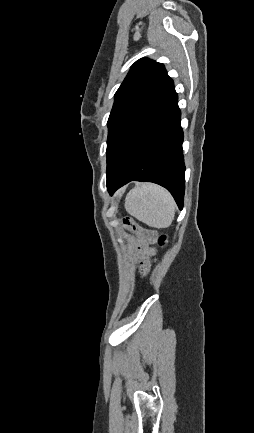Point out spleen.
I'll list each match as a JSON object with an SVG mask.
<instances>
[{"label": "spleen", "mask_w": 254, "mask_h": 433, "mask_svg": "<svg viewBox=\"0 0 254 433\" xmlns=\"http://www.w3.org/2000/svg\"><path fill=\"white\" fill-rule=\"evenodd\" d=\"M175 201L163 187L143 183L126 196L125 209L139 221L154 228L169 227L175 216Z\"/></svg>", "instance_id": "1"}]
</instances>
